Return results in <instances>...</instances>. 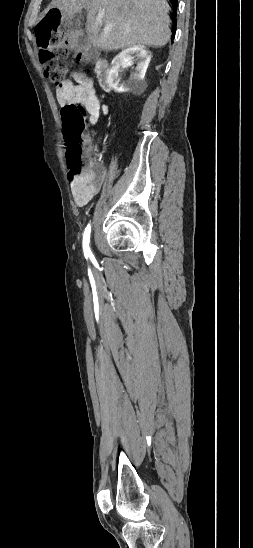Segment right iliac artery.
<instances>
[{
  "label": "right iliac artery",
  "instance_id": "right-iliac-artery-1",
  "mask_svg": "<svg viewBox=\"0 0 253 548\" xmlns=\"http://www.w3.org/2000/svg\"><path fill=\"white\" fill-rule=\"evenodd\" d=\"M90 232H91V225L88 224L83 235V250H84V255L86 257L93 259V255L89 247Z\"/></svg>",
  "mask_w": 253,
  "mask_h": 548
}]
</instances>
